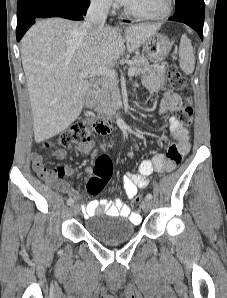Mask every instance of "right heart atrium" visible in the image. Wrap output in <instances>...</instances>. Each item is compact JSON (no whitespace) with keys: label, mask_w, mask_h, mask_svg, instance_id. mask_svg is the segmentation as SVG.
I'll list each match as a JSON object with an SVG mask.
<instances>
[{"label":"right heart atrium","mask_w":227,"mask_h":298,"mask_svg":"<svg viewBox=\"0 0 227 298\" xmlns=\"http://www.w3.org/2000/svg\"><path fill=\"white\" fill-rule=\"evenodd\" d=\"M92 3L100 10L107 11L113 6V0H92Z\"/></svg>","instance_id":"d8ad5b80"}]
</instances>
